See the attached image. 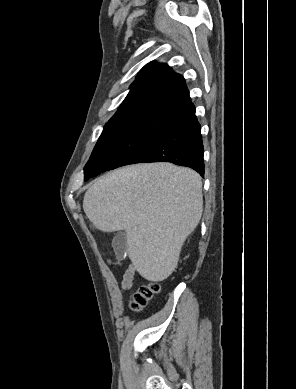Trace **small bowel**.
<instances>
[{
    "instance_id": "obj_1",
    "label": "small bowel",
    "mask_w": 296,
    "mask_h": 389,
    "mask_svg": "<svg viewBox=\"0 0 296 389\" xmlns=\"http://www.w3.org/2000/svg\"><path fill=\"white\" fill-rule=\"evenodd\" d=\"M136 270L133 266H129L126 271L124 272L123 278H122V288L123 289H129L134 280Z\"/></svg>"
}]
</instances>
